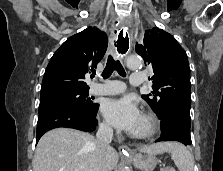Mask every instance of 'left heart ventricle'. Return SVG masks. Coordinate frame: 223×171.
<instances>
[{
	"instance_id": "left-heart-ventricle-1",
	"label": "left heart ventricle",
	"mask_w": 223,
	"mask_h": 171,
	"mask_svg": "<svg viewBox=\"0 0 223 171\" xmlns=\"http://www.w3.org/2000/svg\"><path fill=\"white\" fill-rule=\"evenodd\" d=\"M145 129H146V124H145L144 120H143L142 117H141V119H140V121H139L137 127H136L135 130L133 131V133H140V132L145 131Z\"/></svg>"
}]
</instances>
